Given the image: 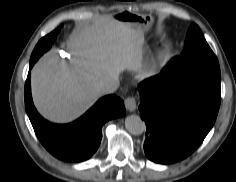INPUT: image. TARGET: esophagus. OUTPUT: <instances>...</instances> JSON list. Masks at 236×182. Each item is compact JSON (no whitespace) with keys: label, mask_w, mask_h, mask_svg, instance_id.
Listing matches in <instances>:
<instances>
[{"label":"esophagus","mask_w":236,"mask_h":182,"mask_svg":"<svg viewBox=\"0 0 236 182\" xmlns=\"http://www.w3.org/2000/svg\"><path fill=\"white\" fill-rule=\"evenodd\" d=\"M125 107L129 112H134L137 108V102L135 97L129 96L125 99Z\"/></svg>","instance_id":"34e87169"}]
</instances>
